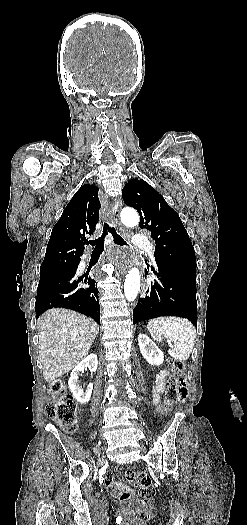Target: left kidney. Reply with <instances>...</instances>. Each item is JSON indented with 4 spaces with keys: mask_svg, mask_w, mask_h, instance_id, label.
Wrapping results in <instances>:
<instances>
[{
    "mask_svg": "<svg viewBox=\"0 0 247 525\" xmlns=\"http://www.w3.org/2000/svg\"><path fill=\"white\" fill-rule=\"evenodd\" d=\"M138 345L142 357L148 361L149 365H162L164 355L147 335L143 333L138 335Z\"/></svg>",
    "mask_w": 247,
    "mask_h": 525,
    "instance_id": "obj_1",
    "label": "left kidney"
}]
</instances>
